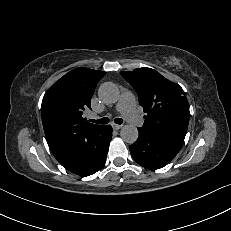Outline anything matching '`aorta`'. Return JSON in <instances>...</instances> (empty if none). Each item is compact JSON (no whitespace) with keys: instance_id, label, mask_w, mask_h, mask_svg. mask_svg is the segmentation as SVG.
<instances>
[{"instance_id":"762f6f07","label":"aorta","mask_w":231,"mask_h":231,"mask_svg":"<svg viewBox=\"0 0 231 231\" xmlns=\"http://www.w3.org/2000/svg\"><path fill=\"white\" fill-rule=\"evenodd\" d=\"M98 95L103 102L107 104H114L119 98V90L114 83L105 82L100 85ZM138 135V130L133 125H124L120 130L122 140L129 144L135 143Z\"/></svg>"}]
</instances>
